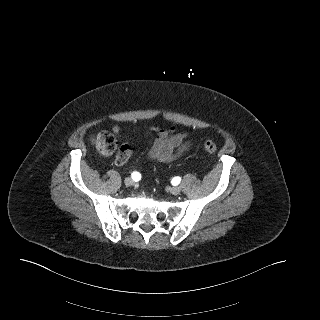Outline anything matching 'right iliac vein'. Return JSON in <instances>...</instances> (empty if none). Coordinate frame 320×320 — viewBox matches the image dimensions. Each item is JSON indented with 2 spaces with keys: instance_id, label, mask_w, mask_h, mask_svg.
Instances as JSON below:
<instances>
[{
  "instance_id": "right-iliac-vein-1",
  "label": "right iliac vein",
  "mask_w": 320,
  "mask_h": 320,
  "mask_svg": "<svg viewBox=\"0 0 320 320\" xmlns=\"http://www.w3.org/2000/svg\"><path fill=\"white\" fill-rule=\"evenodd\" d=\"M124 183L127 186H132L134 182H133L132 178L127 177V178H125Z\"/></svg>"
}]
</instances>
